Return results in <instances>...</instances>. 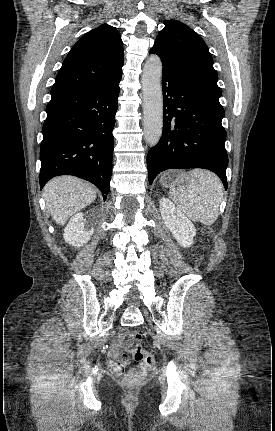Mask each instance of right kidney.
Wrapping results in <instances>:
<instances>
[{
    "instance_id": "1",
    "label": "right kidney",
    "mask_w": 275,
    "mask_h": 431,
    "mask_svg": "<svg viewBox=\"0 0 275 431\" xmlns=\"http://www.w3.org/2000/svg\"><path fill=\"white\" fill-rule=\"evenodd\" d=\"M85 223L84 214L76 213L64 229L65 242L77 248L86 244L93 235V230L85 229Z\"/></svg>"
}]
</instances>
